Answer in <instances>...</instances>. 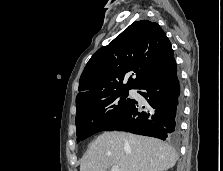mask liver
<instances>
[{
  "label": "liver",
  "mask_w": 223,
  "mask_h": 171,
  "mask_svg": "<svg viewBox=\"0 0 223 171\" xmlns=\"http://www.w3.org/2000/svg\"><path fill=\"white\" fill-rule=\"evenodd\" d=\"M177 159L175 150L159 139L112 131L89 145L80 171H107L112 166L120 171H167Z\"/></svg>",
  "instance_id": "1"
}]
</instances>
